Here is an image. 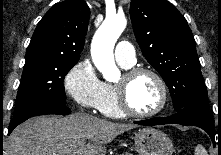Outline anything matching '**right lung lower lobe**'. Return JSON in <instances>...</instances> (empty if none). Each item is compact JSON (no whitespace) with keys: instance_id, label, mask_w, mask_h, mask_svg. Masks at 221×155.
I'll return each instance as SVG.
<instances>
[{"instance_id":"obj_1","label":"right lung lower lobe","mask_w":221,"mask_h":155,"mask_svg":"<svg viewBox=\"0 0 221 155\" xmlns=\"http://www.w3.org/2000/svg\"><path fill=\"white\" fill-rule=\"evenodd\" d=\"M71 110L66 107V104H54V103H44L37 105L33 109L25 112L24 114L14 117L11 120L8 134L12 132V130L19 125L20 123L26 121L27 119L39 116V115H45V114H58V115H67L70 114Z\"/></svg>"}]
</instances>
